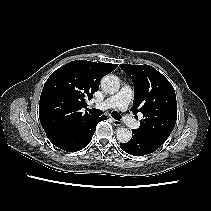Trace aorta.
<instances>
[{
	"instance_id": "aorta-1",
	"label": "aorta",
	"mask_w": 211,
	"mask_h": 211,
	"mask_svg": "<svg viewBox=\"0 0 211 211\" xmlns=\"http://www.w3.org/2000/svg\"><path fill=\"white\" fill-rule=\"evenodd\" d=\"M119 87H120V80L115 75H106L101 80V88L107 94L116 93L119 90ZM116 137L119 142L127 143L130 141L132 137V132L125 127H121L117 129Z\"/></svg>"
}]
</instances>
